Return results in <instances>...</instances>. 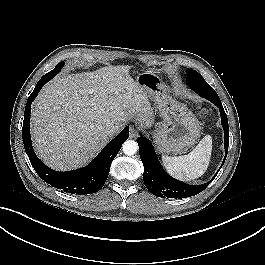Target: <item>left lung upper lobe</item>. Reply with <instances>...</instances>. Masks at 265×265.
<instances>
[{
    "mask_svg": "<svg viewBox=\"0 0 265 265\" xmlns=\"http://www.w3.org/2000/svg\"><path fill=\"white\" fill-rule=\"evenodd\" d=\"M187 73V83L196 81H205L204 78L196 71L188 69Z\"/></svg>",
    "mask_w": 265,
    "mask_h": 265,
    "instance_id": "left-lung-upper-lobe-1",
    "label": "left lung upper lobe"
}]
</instances>
